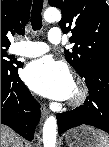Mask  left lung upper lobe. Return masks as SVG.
Instances as JSON below:
<instances>
[{"mask_svg":"<svg viewBox=\"0 0 109 147\" xmlns=\"http://www.w3.org/2000/svg\"><path fill=\"white\" fill-rule=\"evenodd\" d=\"M61 9L59 26L71 31L72 51H65L67 62L85 77L94 62L109 64V5L105 0H49Z\"/></svg>","mask_w":109,"mask_h":147,"instance_id":"1","label":"left lung upper lobe"}]
</instances>
